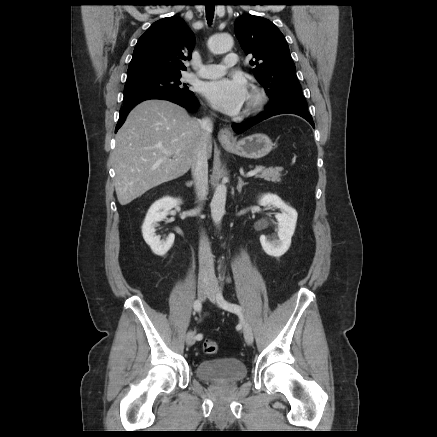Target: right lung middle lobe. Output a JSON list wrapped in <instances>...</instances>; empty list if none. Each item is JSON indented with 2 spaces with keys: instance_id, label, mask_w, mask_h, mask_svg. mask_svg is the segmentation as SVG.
<instances>
[{
  "instance_id": "right-lung-middle-lobe-1",
  "label": "right lung middle lobe",
  "mask_w": 437,
  "mask_h": 437,
  "mask_svg": "<svg viewBox=\"0 0 437 437\" xmlns=\"http://www.w3.org/2000/svg\"><path fill=\"white\" fill-rule=\"evenodd\" d=\"M180 73L144 72L127 74L124 104L156 94H193L180 81Z\"/></svg>"
}]
</instances>
